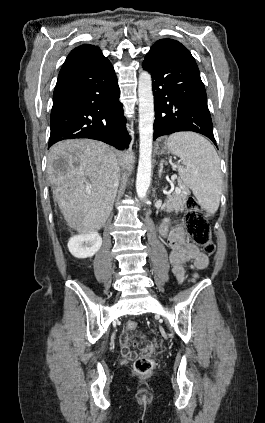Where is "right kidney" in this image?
<instances>
[{
	"label": "right kidney",
	"instance_id": "right-kidney-1",
	"mask_svg": "<svg viewBox=\"0 0 265 423\" xmlns=\"http://www.w3.org/2000/svg\"><path fill=\"white\" fill-rule=\"evenodd\" d=\"M102 238L97 231L73 236L68 242L70 253L76 258L94 256L101 248Z\"/></svg>",
	"mask_w": 265,
	"mask_h": 423
}]
</instances>
